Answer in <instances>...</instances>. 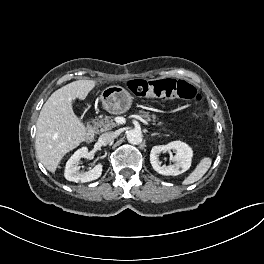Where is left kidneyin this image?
<instances>
[{
    "instance_id": "1",
    "label": "left kidney",
    "mask_w": 264,
    "mask_h": 264,
    "mask_svg": "<svg viewBox=\"0 0 264 264\" xmlns=\"http://www.w3.org/2000/svg\"><path fill=\"white\" fill-rule=\"evenodd\" d=\"M174 150L175 156L173 158V165H160L159 155L163 151ZM193 157V151L189 145L182 141H173L168 143L167 145H156L151 149L150 153V162L153 169L162 175H179L186 170H188L191 166V161Z\"/></svg>"
}]
</instances>
